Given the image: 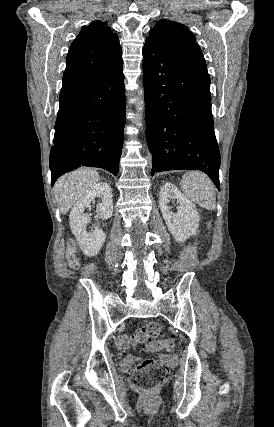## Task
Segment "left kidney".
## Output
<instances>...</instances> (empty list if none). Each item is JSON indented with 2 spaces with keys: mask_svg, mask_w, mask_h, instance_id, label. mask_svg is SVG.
<instances>
[{
  "mask_svg": "<svg viewBox=\"0 0 274 427\" xmlns=\"http://www.w3.org/2000/svg\"><path fill=\"white\" fill-rule=\"evenodd\" d=\"M170 200H176L177 204H179L177 206V214L171 212V208L168 206ZM159 206L163 219H165L166 225L172 235H174L176 241H185L191 235H195L199 227L197 210L194 204L174 184L166 182L162 186L159 196Z\"/></svg>",
  "mask_w": 274,
  "mask_h": 427,
  "instance_id": "1",
  "label": "left kidney"
}]
</instances>
